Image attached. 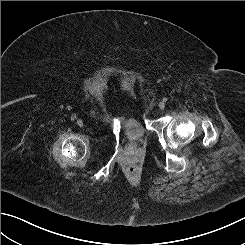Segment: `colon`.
Wrapping results in <instances>:
<instances>
[{"instance_id": "5ec220e1", "label": "colon", "mask_w": 245, "mask_h": 245, "mask_svg": "<svg viewBox=\"0 0 245 245\" xmlns=\"http://www.w3.org/2000/svg\"><path fill=\"white\" fill-rule=\"evenodd\" d=\"M129 170L130 171H133L134 170V167L133 166H130Z\"/></svg>"}]
</instances>
